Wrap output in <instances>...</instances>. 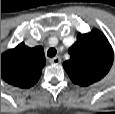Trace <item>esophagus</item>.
Wrapping results in <instances>:
<instances>
[{"mask_svg":"<svg viewBox=\"0 0 115 114\" xmlns=\"http://www.w3.org/2000/svg\"><path fill=\"white\" fill-rule=\"evenodd\" d=\"M51 64H60L61 63V58L59 56H56L52 59L49 60Z\"/></svg>","mask_w":115,"mask_h":114,"instance_id":"esophagus-1","label":"esophagus"}]
</instances>
